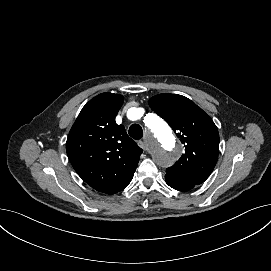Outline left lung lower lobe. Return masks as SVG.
Returning a JSON list of instances; mask_svg holds the SVG:
<instances>
[{
    "label": "left lung lower lobe",
    "mask_w": 271,
    "mask_h": 271,
    "mask_svg": "<svg viewBox=\"0 0 271 271\" xmlns=\"http://www.w3.org/2000/svg\"><path fill=\"white\" fill-rule=\"evenodd\" d=\"M165 181L170 187H172L178 191H189V190L195 188L196 186H198L196 184H193V183H190V182H187L184 180L171 178L167 175H165Z\"/></svg>",
    "instance_id": "obj_1"
}]
</instances>
